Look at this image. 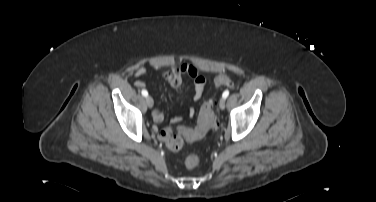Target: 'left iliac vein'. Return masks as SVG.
Here are the masks:
<instances>
[{
    "mask_svg": "<svg viewBox=\"0 0 376 202\" xmlns=\"http://www.w3.org/2000/svg\"><path fill=\"white\" fill-rule=\"evenodd\" d=\"M225 106H226V100H225V98H222L219 102V107H220V109L223 110L225 108Z\"/></svg>",
    "mask_w": 376,
    "mask_h": 202,
    "instance_id": "1",
    "label": "left iliac vein"
}]
</instances>
